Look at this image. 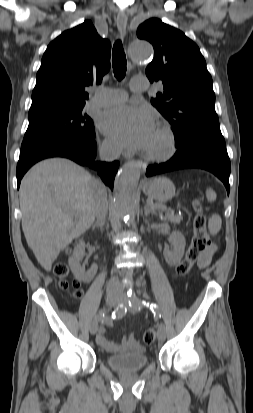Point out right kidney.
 Wrapping results in <instances>:
<instances>
[{"label":"right kidney","instance_id":"ca27d5eb","mask_svg":"<svg viewBox=\"0 0 253 413\" xmlns=\"http://www.w3.org/2000/svg\"><path fill=\"white\" fill-rule=\"evenodd\" d=\"M85 246L84 242H79L74 248L68 263L71 271L79 280L89 282L94 278L98 267L96 264H92L91 268L85 271V268L81 265L80 262L85 256Z\"/></svg>","mask_w":253,"mask_h":413}]
</instances>
